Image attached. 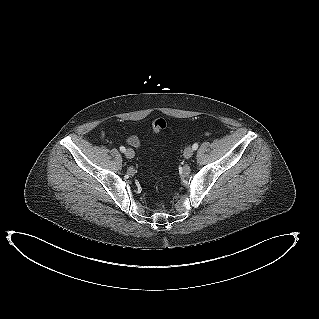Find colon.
Returning <instances> with one entry per match:
<instances>
[{"mask_svg":"<svg viewBox=\"0 0 319 319\" xmlns=\"http://www.w3.org/2000/svg\"><path fill=\"white\" fill-rule=\"evenodd\" d=\"M166 127V121L163 118H157L151 123V130L153 132H160Z\"/></svg>","mask_w":319,"mask_h":319,"instance_id":"1","label":"colon"}]
</instances>
